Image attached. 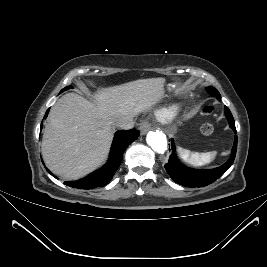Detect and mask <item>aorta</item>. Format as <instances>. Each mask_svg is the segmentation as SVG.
I'll use <instances>...</instances> for the list:
<instances>
[{"label":"aorta","mask_w":267,"mask_h":267,"mask_svg":"<svg viewBox=\"0 0 267 267\" xmlns=\"http://www.w3.org/2000/svg\"><path fill=\"white\" fill-rule=\"evenodd\" d=\"M147 143L157 153L163 154L167 150L166 135L158 130L147 134Z\"/></svg>","instance_id":"1"}]
</instances>
